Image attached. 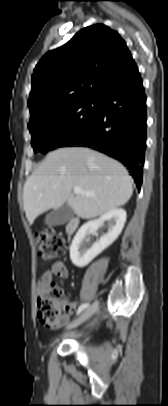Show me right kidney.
Wrapping results in <instances>:
<instances>
[{
    "mask_svg": "<svg viewBox=\"0 0 168 406\" xmlns=\"http://www.w3.org/2000/svg\"><path fill=\"white\" fill-rule=\"evenodd\" d=\"M104 222L108 223V232L101 236L90 248H87L84 243L86 235L96 231ZM125 222L126 211L122 208H117L103 214L97 220L83 224L76 233L70 246V259L72 263L79 268L88 265L118 238Z\"/></svg>",
    "mask_w": 168,
    "mask_h": 406,
    "instance_id": "1",
    "label": "right kidney"
}]
</instances>
